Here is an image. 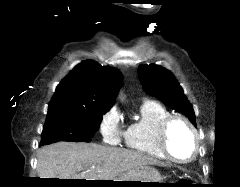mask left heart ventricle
I'll use <instances>...</instances> for the list:
<instances>
[{
	"label": "left heart ventricle",
	"instance_id": "b2bd125f",
	"mask_svg": "<svg viewBox=\"0 0 240 187\" xmlns=\"http://www.w3.org/2000/svg\"><path fill=\"white\" fill-rule=\"evenodd\" d=\"M168 145L171 152L179 159H187L193 152L192 135L188 128L176 122L170 129Z\"/></svg>",
	"mask_w": 240,
	"mask_h": 187
}]
</instances>
